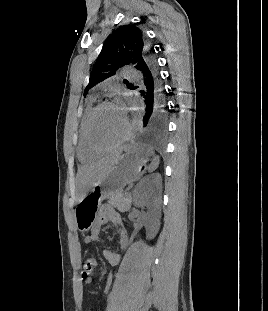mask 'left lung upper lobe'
<instances>
[{"label": "left lung upper lobe", "instance_id": "5c2ea615", "mask_svg": "<svg viewBox=\"0 0 268 311\" xmlns=\"http://www.w3.org/2000/svg\"><path fill=\"white\" fill-rule=\"evenodd\" d=\"M145 41L142 31L133 25L117 28L105 41L103 49L90 74L84 95L99 82L111 77L124 65L138 69L139 63L146 59Z\"/></svg>", "mask_w": 268, "mask_h": 311}]
</instances>
